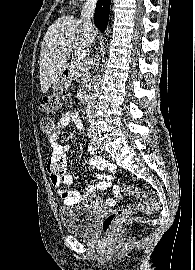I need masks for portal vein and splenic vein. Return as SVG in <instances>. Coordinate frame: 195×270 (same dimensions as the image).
Returning a JSON list of instances; mask_svg holds the SVG:
<instances>
[{"label": "portal vein and splenic vein", "mask_w": 195, "mask_h": 270, "mask_svg": "<svg viewBox=\"0 0 195 270\" xmlns=\"http://www.w3.org/2000/svg\"><path fill=\"white\" fill-rule=\"evenodd\" d=\"M74 57L78 60H84L86 58V52L85 50H77L74 53Z\"/></svg>", "instance_id": "portal-vein-and-splenic-vein-1"}]
</instances>
